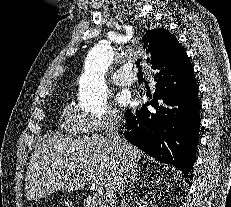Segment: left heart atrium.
<instances>
[{"label": "left heart atrium", "mask_w": 231, "mask_h": 207, "mask_svg": "<svg viewBox=\"0 0 231 207\" xmlns=\"http://www.w3.org/2000/svg\"><path fill=\"white\" fill-rule=\"evenodd\" d=\"M116 101L120 106H127L130 103L129 93L128 92H121L117 96Z\"/></svg>", "instance_id": "39dd6f15"}]
</instances>
